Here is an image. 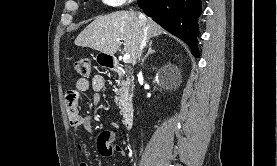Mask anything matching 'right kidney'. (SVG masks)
<instances>
[{
    "label": "right kidney",
    "instance_id": "ca27d5eb",
    "mask_svg": "<svg viewBox=\"0 0 277 166\" xmlns=\"http://www.w3.org/2000/svg\"><path fill=\"white\" fill-rule=\"evenodd\" d=\"M156 81L159 82L162 86H166V84L163 81V78L161 77H156Z\"/></svg>",
    "mask_w": 277,
    "mask_h": 166
}]
</instances>
